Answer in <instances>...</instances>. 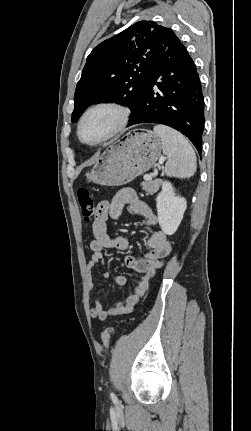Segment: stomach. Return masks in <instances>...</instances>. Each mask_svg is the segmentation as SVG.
Instances as JSON below:
<instances>
[{
  "label": "stomach",
  "mask_w": 251,
  "mask_h": 431,
  "mask_svg": "<svg viewBox=\"0 0 251 431\" xmlns=\"http://www.w3.org/2000/svg\"><path fill=\"white\" fill-rule=\"evenodd\" d=\"M162 150L161 138L147 129L128 132L98 157L86 174L89 182L121 186L154 166Z\"/></svg>",
  "instance_id": "1"
}]
</instances>
